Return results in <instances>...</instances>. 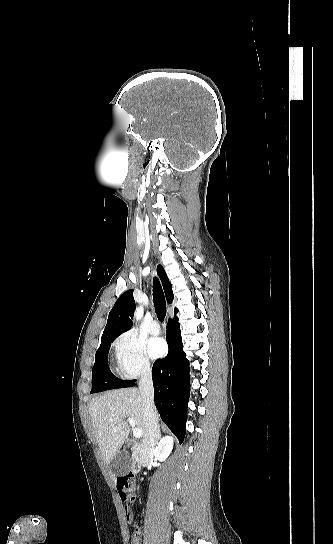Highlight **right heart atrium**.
<instances>
[{"label": "right heart atrium", "instance_id": "obj_1", "mask_svg": "<svg viewBox=\"0 0 333 544\" xmlns=\"http://www.w3.org/2000/svg\"><path fill=\"white\" fill-rule=\"evenodd\" d=\"M116 369L123 379H134L151 373L152 366L144 341L132 330L120 334L113 342Z\"/></svg>", "mask_w": 333, "mask_h": 544}]
</instances>
